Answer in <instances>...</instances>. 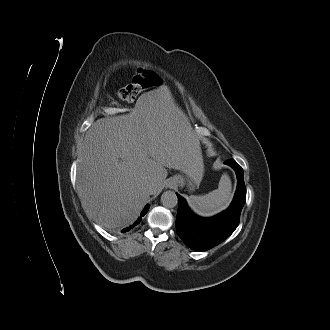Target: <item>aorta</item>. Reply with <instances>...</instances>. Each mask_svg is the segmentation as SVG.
I'll return each mask as SVG.
<instances>
[{"mask_svg": "<svg viewBox=\"0 0 330 330\" xmlns=\"http://www.w3.org/2000/svg\"><path fill=\"white\" fill-rule=\"evenodd\" d=\"M161 203L166 208H174L177 206L178 198L174 191H166L161 196Z\"/></svg>", "mask_w": 330, "mask_h": 330, "instance_id": "1", "label": "aorta"}]
</instances>
